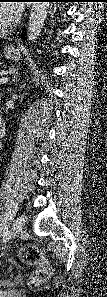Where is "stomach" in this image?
Listing matches in <instances>:
<instances>
[{
    "label": "stomach",
    "mask_w": 107,
    "mask_h": 297,
    "mask_svg": "<svg viewBox=\"0 0 107 297\" xmlns=\"http://www.w3.org/2000/svg\"><path fill=\"white\" fill-rule=\"evenodd\" d=\"M3 55L8 60L17 61L20 59L21 52L19 48H16L13 45H8L4 47Z\"/></svg>",
    "instance_id": "0dacf381"
}]
</instances>
